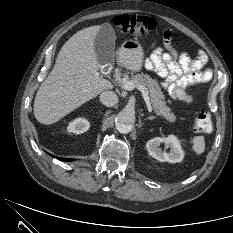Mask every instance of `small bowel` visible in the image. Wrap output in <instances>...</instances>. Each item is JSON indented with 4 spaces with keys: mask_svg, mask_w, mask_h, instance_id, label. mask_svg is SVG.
<instances>
[{
    "mask_svg": "<svg viewBox=\"0 0 233 233\" xmlns=\"http://www.w3.org/2000/svg\"><path fill=\"white\" fill-rule=\"evenodd\" d=\"M165 49H156L146 65L164 78V87L169 95L186 103L192 101V96L186 91L190 86L208 82L212 71L205 68L207 55L199 51L195 58L187 53H178L171 45V33H164Z\"/></svg>",
    "mask_w": 233,
    "mask_h": 233,
    "instance_id": "1",
    "label": "small bowel"
}]
</instances>
